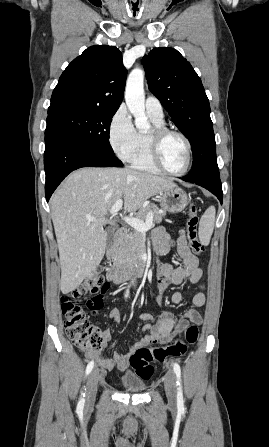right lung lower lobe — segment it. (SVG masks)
<instances>
[{"label":"right lung lower lobe","instance_id":"1","mask_svg":"<svg viewBox=\"0 0 269 447\" xmlns=\"http://www.w3.org/2000/svg\"><path fill=\"white\" fill-rule=\"evenodd\" d=\"M44 166L45 194L49 201L61 181L73 170L82 167H122L114 155L63 132L46 128Z\"/></svg>","mask_w":269,"mask_h":447}]
</instances>
